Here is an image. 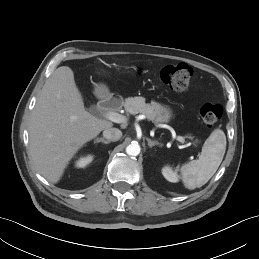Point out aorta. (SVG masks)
<instances>
[{
  "label": "aorta",
  "instance_id": "obj_1",
  "mask_svg": "<svg viewBox=\"0 0 259 259\" xmlns=\"http://www.w3.org/2000/svg\"><path fill=\"white\" fill-rule=\"evenodd\" d=\"M126 153L131 156H137L140 153V146L138 143H131L126 147Z\"/></svg>",
  "mask_w": 259,
  "mask_h": 259
}]
</instances>
